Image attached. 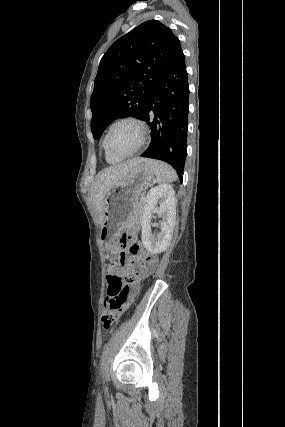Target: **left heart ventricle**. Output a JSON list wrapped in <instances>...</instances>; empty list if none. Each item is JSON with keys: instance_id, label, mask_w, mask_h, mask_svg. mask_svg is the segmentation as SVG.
<instances>
[{"instance_id": "1", "label": "left heart ventricle", "mask_w": 285, "mask_h": 427, "mask_svg": "<svg viewBox=\"0 0 285 427\" xmlns=\"http://www.w3.org/2000/svg\"><path fill=\"white\" fill-rule=\"evenodd\" d=\"M139 138V130L134 124L121 123L111 130L108 145L116 153H128L136 147Z\"/></svg>"}]
</instances>
